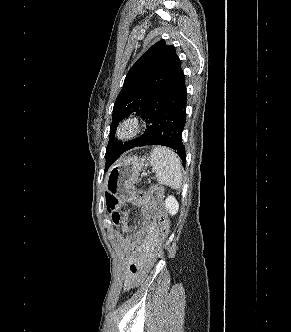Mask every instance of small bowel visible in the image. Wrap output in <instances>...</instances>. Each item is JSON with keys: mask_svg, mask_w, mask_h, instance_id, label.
Segmentation results:
<instances>
[{"mask_svg": "<svg viewBox=\"0 0 291 332\" xmlns=\"http://www.w3.org/2000/svg\"><path fill=\"white\" fill-rule=\"evenodd\" d=\"M122 232H131V227L127 222L122 224ZM160 225L156 222L150 223L147 227H139L130 233L127 238V244L133 249L130 260L127 281L132 279L133 268L143 264L152 254L155 245L159 241Z\"/></svg>", "mask_w": 291, "mask_h": 332, "instance_id": "c3829d8e", "label": "small bowel"}]
</instances>
